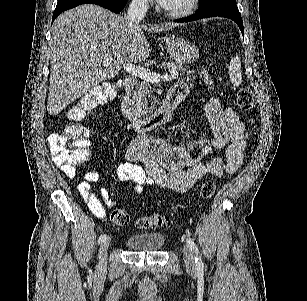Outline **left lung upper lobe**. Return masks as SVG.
<instances>
[{"label":"left lung upper lobe","mask_w":307,"mask_h":301,"mask_svg":"<svg viewBox=\"0 0 307 301\" xmlns=\"http://www.w3.org/2000/svg\"><path fill=\"white\" fill-rule=\"evenodd\" d=\"M208 11L240 14L235 0H200L197 12L203 13Z\"/></svg>","instance_id":"left-lung-upper-lobe-1"}]
</instances>
